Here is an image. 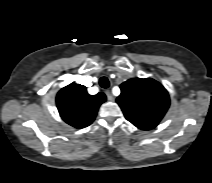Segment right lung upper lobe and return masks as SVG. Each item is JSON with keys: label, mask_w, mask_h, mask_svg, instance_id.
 <instances>
[{"label": "right lung upper lobe", "mask_w": 212, "mask_h": 183, "mask_svg": "<svg viewBox=\"0 0 212 183\" xmlns=\"http://www.w3.org/2000/svg\"><path fill=\"white\" fill-rule=\"evenodd\" d=\"M105 101L104 93L89 95L85 86L76 83L62 88L56 98L60 116L75 128L90 125L96 117L99 106Z\"/></svg>", "instance_id": "obj_1"}]
</instances>
